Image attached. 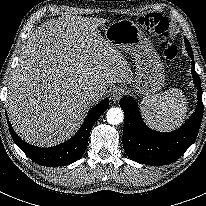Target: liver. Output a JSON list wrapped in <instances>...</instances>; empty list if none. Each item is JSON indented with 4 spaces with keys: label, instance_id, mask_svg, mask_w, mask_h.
<instances>
[{
    "label": "liver",
    "instance_id": "1",
    "mask_svg": "<svg viewBox=\"0 0 206 206\" xmlns=\"http://www.w3.org/2000/svg\"><path fill=\"white\" fill-rule=\"evenodd\" d=\"M106 20L63 16L30 36L9 84L6 108L26 142L50 147L68 139L113 83L131 82L125 57L98 32Z\"/></svg>",
    "mask_w": 206,
    "mask_h": 206
}]
</instances>
